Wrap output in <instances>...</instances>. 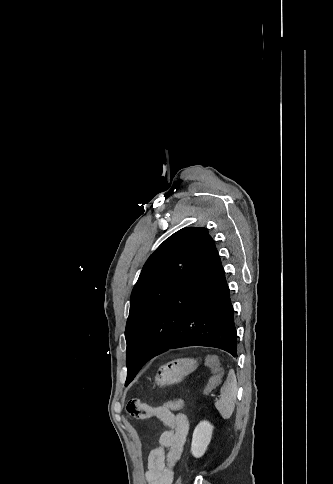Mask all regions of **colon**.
Returning <instances> with one entry per match:
<instances>
[{
    "label": "colon",
    "mask_w": 333,
    "mask_h": 484,
    "mask_svg": "<svg viewBox=\"0 0 333 484\" xmlns=\"http://www.w3.org/2000/svg\"><path fill=\"white\" fill-rule=\"evenodd\" d=\"M206 364L210 367L212 372V376L204 388V393L208 394L220 384L222 379V370L218 361L213 357H208L206 359ZM160 407L163 408L164 410L179 411L183 408V401L181 399H174L164 403ZM176 484H182V483L180 480H178Z\"/></svg>",
    "instance_id": "colon-1"
}]
</instances>
